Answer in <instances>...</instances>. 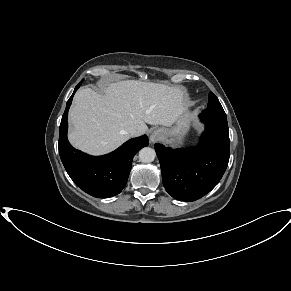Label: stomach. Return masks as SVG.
<instances>
[{
    "instance_id": "stomach-1",
    "label": "stomach",
    "mask_w": 291,
    "mask_h": 291,
    "mask_svg": "<svg viewBox=\"0 0 291 291\" xmlns=\"http://www.w3.org/2000/svg\"><path fill=\"white\" fill-rule=\"evenodd\" d=\"M192 119H193L192 114L187 107L183 114L177 120L176 125L174 127L170 129L161 128L159 129V131H161L164 134L165 138L169 140H175L178 143H182L190 129Z\"/></svg>"
}]
</instances>
